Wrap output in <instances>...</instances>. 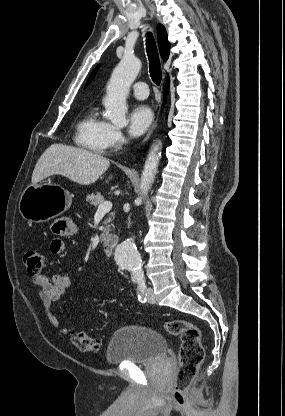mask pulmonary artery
I'll use <instances>...</instances> for the list:
<instances>
[{"mask_svg": "<svg viewBox=\"0 0 285 416\" xmlns=\"http://www.w3.org/2000/svg\"><path fill=\"white\" fill-rule=\"evenodd\" d=\"M143 86H146V83L139 81V82L134 83L130 87V89L133 91L135 97H137L139 99L147 98L148 89L146 87H143Z\"/></svg>", "mask_w": 285, "mask_h": 416, "instance_id": "obj_1", "label": "pulmonary artery"}]
</instances>
